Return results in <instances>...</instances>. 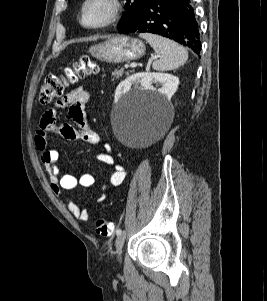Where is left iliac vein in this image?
Segmentation results:
<instances>
[{"instance_id": "4c4485c4", "label": "left iliac vein", "mask_w": 267, "mask_h": 301, "mask_svg": "<svg viewBox=\"0 0 267 301\" xmlns=\"http://www.w3.org/2000/svg\"><path fill=\"white\" fill-rule=\"evenodd\" d=\"M125 239H126V232L123 231V232H121V234H119L117 236L116 241H115L116 254H117L119 261L121 260L122 247L124 245Z\"/></svg>"}]
</instances>
